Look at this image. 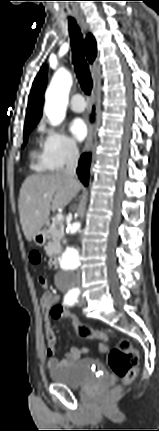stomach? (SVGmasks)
<instances>
[{"label": "stomach", "mask_w": 159, "mask_h": 431, "mask_svg": "<svg viewBox=\"0 0 159 431\" xmlns=\"http://www.w3.org/2000/svg\"><path fill=\"white\" fill-rule=\"evenodd\" d=\"M45 234L40 232L37 235L34 236L33 241L36 245L42 246L45 243Z\"/></svg>", "instance_id": "0dacf381"}]
</instances>
